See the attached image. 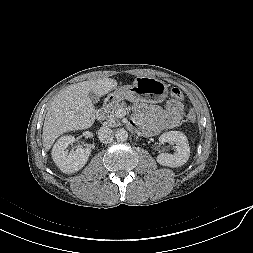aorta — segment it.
<instances>
[{
  "mask_svg": "<svg viewBox=\"0 0 253 253\" xmlns=\"http://www.w3.org/2000/svg\"><path fill=\"white\" fill-rule=\"evenodd\" d=\"M115 137L118 141H125L128 138V132L124 128H120L115 132Z\"/></svg>",
  "mask_w": 253,
  "mask_h": 253,
  "instance_id": "obj_1",
  "label": "aorta"
}]
</instances>
